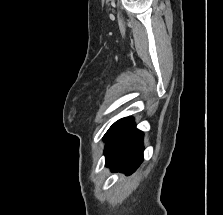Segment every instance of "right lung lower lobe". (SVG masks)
<instances>
[{"mask_svg": "<svg viewBox=\"0 0 223 215\" xmlns=\"http://www.w3.org/2000/svg\"><path fill=\"white\" fill-rule=\"evenodd\" d=\"M106 166L112 171L132 174L143 161V132L132 117L125 118L105 140Z\"/></svg>", "mask_w": 223, "mask_h": 215, "instance_id": "right-lung-lower-lobe-1", "label": "right lung lower lobe"}]
</instances>
